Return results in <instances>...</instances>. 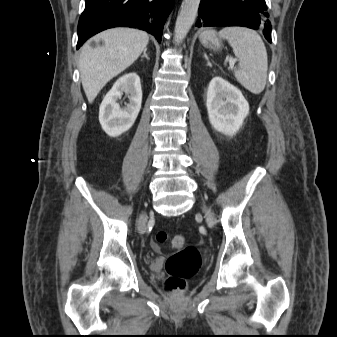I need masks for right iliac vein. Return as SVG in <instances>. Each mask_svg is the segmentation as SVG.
<instances>
[{"label": "right iliac vein", "mask_w": 337, "mask_h": 337, "mask_svg": "<svg viewBox=\"0 0 337 337\" xmlns=\"http://www.w3.org/2000/svg\"><path fill=\"white\" fill-rule=\"evenodd\" d=\"M146 228V216L142 214L138 220V229L139 231L143 232Z\"/></svg>", "instance_id": "obj_1"}]
</instances>
